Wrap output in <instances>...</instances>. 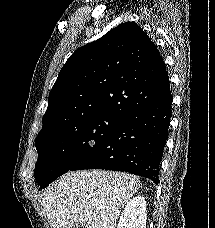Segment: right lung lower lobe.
I'll return each mask as SVG.
<instances>
[{
    "label": "right lung lower lobe",
    "instance_id": "right-lung-lower-lobe-1",
    "mask_svg": "<svg viewBox=\"0 0 215 228\" xmlns=\"http://www.w3.org/2000/svg\"><path fill=\"white\" fill-rule=\"evenodd\" d=\"M166 84H169L167 77ZM172 108L171 91L126 115L73 170L105 169L126 171L159 182L160 164L168 139Z\"/></svg>",
    "mask_w": 215,
    "mask_h": 228
}]
</instances>
